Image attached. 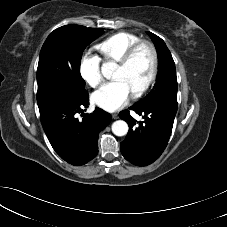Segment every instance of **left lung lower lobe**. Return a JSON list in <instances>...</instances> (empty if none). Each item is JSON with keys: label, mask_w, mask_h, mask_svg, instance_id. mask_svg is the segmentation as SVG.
Returning a JSON list of instances; mask_svg holds the SVG:
<instances>
[{"label": "left lung lower lobe", "mask_w": 227, "mask_h": 227, "mask_svg": "<svg viewBox=\"0 0 227 227\" xmlns=\"http://www.w3.org/2000/svg\"><path fill=\"white\" fill-rule=\"evenodd\" d=\"M130 110L142 116L144 121H136L129 110L119 113L129 125V132L121 142L124 158L136 166H147L162 154L169 141L177 107L161 102L145 106H131Z\"/></svg>", "instance_id": "left-lung-lower-lobe-1"}]
</instances>
